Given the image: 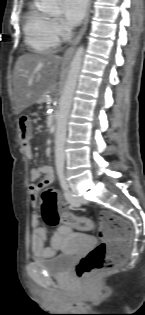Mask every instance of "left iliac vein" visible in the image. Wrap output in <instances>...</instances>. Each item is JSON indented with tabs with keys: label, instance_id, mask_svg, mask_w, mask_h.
Segmentation results:
<instances>
[{
	"label": "left iliac vein",
	"instance_id": "obj_1",
	"mask_svg": "<svg viewBox=\"0 0 145 315\" xmlns=\"http://www.w3.org/2000/svg\"><path fill=\"white\" fill-rule=\"evenodd\" d=\"M65 199L73 206H80L81 205V199L74 196V193L72 190H66L64 193Z\"/></svg>",
	"mask_w": 145,
	"mask_h": 315
}]
</instances>
